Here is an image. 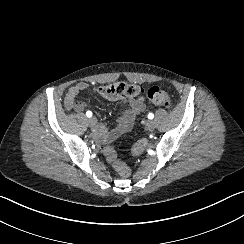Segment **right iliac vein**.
<instances>
[{"instance_id": "63e3f726", "label": "right iliac vein", "mask_w": 244, "mask_h": 244, "mask_svg": "<svg viewBox=\"0 0 244 244\" xmlns=\"http://www.w3.org/2000/svg\"><path fill=\"white\" fill-rule=\"evenodd\" d=\"M96 124H97V119L95 117H90L89 118V125L95 126Z\"/></svg>"}]
</instances>
